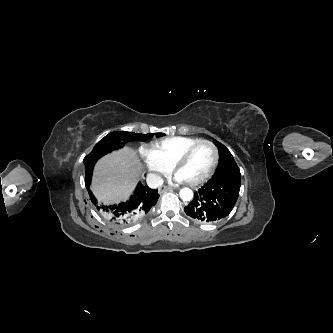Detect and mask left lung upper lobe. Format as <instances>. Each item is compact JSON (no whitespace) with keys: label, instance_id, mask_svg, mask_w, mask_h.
<instances>
[{"label":"left lung upper lobe","instance_id":"obj_1","mask_svg":"<svg viewBox=\"0 0 333 333\" xmlns=\"http://www.w3.org/2000/svg\"><path fill=\"white\" fill-rule=\"evenodd\" d=\"M215 145L219 151V165L215 174L220 173L226 169L238 167L230 151L220 142L215 141Z\"/></svg>","mask_w":333,"mask_h":333}]
</instances>
